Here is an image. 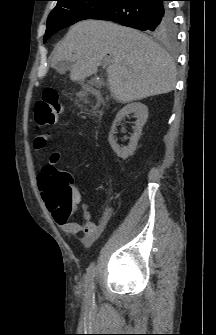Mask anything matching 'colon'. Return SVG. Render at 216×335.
<instances>
[{"label":"colon","instance_id":"obj_1","mask_svg":"<svg viewBox=\"0 0 216 335\" xmlns=\"http://www.w3.org/2000/svg\"><path fill=\"white\" fill-rule=\"evenodd\" d=\"M63 111L59 95L54 88L44 90L42 98L34 106V123L39 129L52 126ZM71 175L68 172H56L49 188L56 202L65 209L68 216L73 206V196L70 190Z\"/></svg>","mask_w":216,"mask_h":335}]
</instances>
